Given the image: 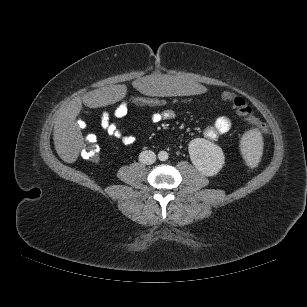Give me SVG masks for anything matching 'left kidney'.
Masks as SVG:
<instances>
[{"instance_id": "obj_1", "label": "left kidney", "mask_w": 307, "mask_h": 307, "mask_svg": "<svg viewBox=\"0 0 307 307\" xmlns=\"http://www.w3.org/2000/svg\"><path fill=\"white\" fill-rule=\"evenodd\" d=\"M188 150L193 165L206 176L218 174L224 165L225 156L221 147L204 138L193 139Z\"/></svg>"}]
</instances>
